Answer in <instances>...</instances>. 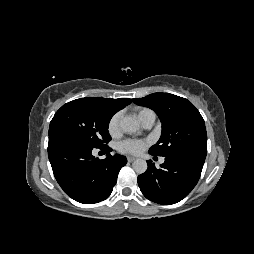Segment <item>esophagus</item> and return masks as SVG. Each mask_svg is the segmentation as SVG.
I'll return each instance as SVG.
<instances>
[{
    "mask_svg": "<svg viewBox=\"0 0 254 254\" xmlns=\"http://www.w3.org/2000/svg\"><path fill=\"white\" fill-rule=\"evenodd\" d=\"M136 158L135 157H132V156H128L127 157V161L128 162H133Z\"/></svg>",
    "mask_w": 254,
    "mask_h": 254,
    "instance_id": "1",
    "label": "esophagus"
}]
</instances>
